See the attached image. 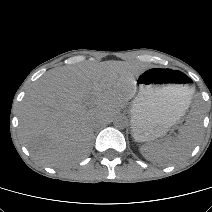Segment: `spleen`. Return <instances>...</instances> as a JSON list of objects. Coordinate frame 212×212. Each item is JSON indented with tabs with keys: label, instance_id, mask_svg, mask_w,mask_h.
Masks as SVG:
<instances>
[{
	"label": "spleen",
	"instance_id": "1",
	"mask_svg": "<svg viewBox=\"0 0 212 212\" xmlns=\"http://www.w3.org/2000/svg\"><path fill=\"white\" fill-rule=\"evenodd\" d=\"M200 134V124L187 121L175 140L154 142L140 148L141 154L154 163L171 165L185 159L193 150Z\"/></svg>",
	"mask_w": 212,
	"mask_h": 212
}]
</instances>
